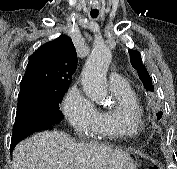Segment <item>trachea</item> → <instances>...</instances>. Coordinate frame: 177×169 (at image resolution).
<instances>
[{"mask_svg": "<svg viewBox=\"0 0 177 169\" xmlns=\"http://www.w3.org/2000/svg\"><path fill=\"white\" fill-rule=\"evenodd\" d=\"M90 14H91L92 18H96L97 15H98V10L97 9H92Z\"/></svg>", "mask_w": 177, "mask_h": 169, "instance_id": "3493384b", "label": "trachea"}]
</instances>
